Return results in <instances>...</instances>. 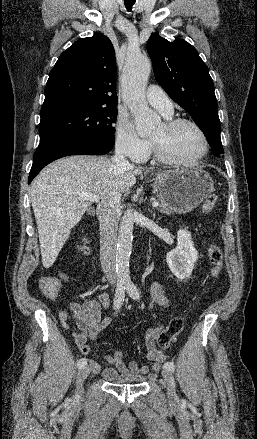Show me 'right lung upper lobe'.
I'll list each match as a JSON object with an SVG mask.
<instances>
[{"label": "right lung upper lobe", "instance_id": "obj_1", "mask_svg": "<svg viewBox=\"0 0 257 439\" xmlns=\"http://www.w3.org/2000/svg\"><path fill=\"white\" fill-rule=\"evenodd\" d=\"M97 106H117L114 47L104 35L76 41L49 74L41 118Z\"/></svg>", "mask_w": 257, "mask_h": 439}]
</instances>
